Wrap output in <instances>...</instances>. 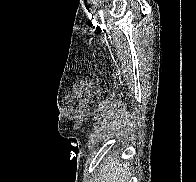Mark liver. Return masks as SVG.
Masks as SVG:
<instances>
[{
	"label": "liver",
	"mask_w": 196,
	"mask_h": 182,
	"mask_svg": "<svg viewBox=\"0 0 196 182\" xmlns=\"http://www.w3.org/2000/svg\"><path fill=\"white\" fill-rule=\"evenodd\" d=\"M127 169V163L120 164L109 158V161L103 166L101 182H126Z\"/></svg>",
	"instance_id": "1"
}]
</instances>
